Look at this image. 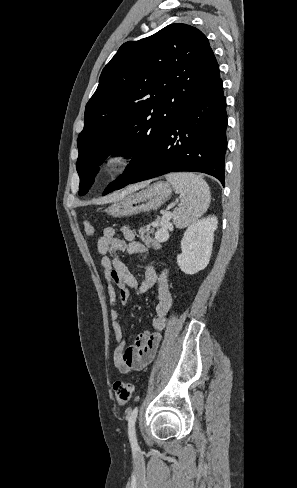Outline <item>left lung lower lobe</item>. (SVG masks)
I'll list each match as a JSON object with an SVG mask.
<instances>
[{"instance_id":"obj_1","label":"left lung lower lobe","mask_w":297,"mask_h":488,"mask_svg":"<svg viewBox=\"0 0 297 488\" xmlns=\"http://www.w3.org/2000/svg\"><path fill=\"white\" fill-rule=\"evenodd\" d=\"M226 127V99L219 77L183 112L150 160L126 185L169 172L193 171L212 175L224 186Z\"/></svg>"}]
</instances>
